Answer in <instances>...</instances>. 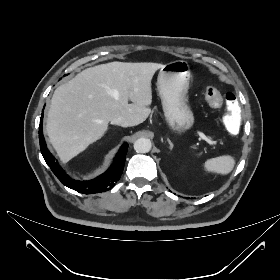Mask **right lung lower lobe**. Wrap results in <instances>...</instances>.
<instances>
[{
  "instance_id": "98d812e1",
  "label": "right lung lower lobe",
  "mask_w": 280,
  "mask_h": 280,
  "mask_svg": "<svg viewBox=\"0 0 280 280\" xmlns=\"http://www.w3.org/2000/svg\"><path fill=\"white\" fill-rule=\"evenodd\" d=\"M42 116L43 115H41L39 125V141L41 153L46 163L49 165L60 182L63 185L83 194L101 193L112 189L115 186L116 182L120 179V176L123 172L128 146L124 144L120 148L110 168L101 176L90 181L74 180L65 173L62 167L58 164V162L55 161V158L47 149L42 131Z\"/></svg>"
}]
</instances>
